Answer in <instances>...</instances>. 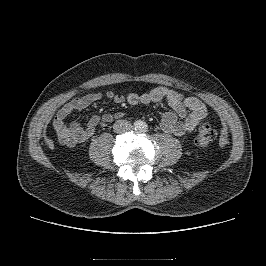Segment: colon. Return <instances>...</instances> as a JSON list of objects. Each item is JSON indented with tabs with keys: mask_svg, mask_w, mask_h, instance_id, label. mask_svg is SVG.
Instances as JSON below:
<instances>
[{
	"mask_svg": "<svg viewBox=\"0 0 266 266\" xmlns=\"http://www.w3.org/2000/svg\"><path fill=\"white\" fill-rule=\"evenodd\" d=\"M216 135V130L211 124L203 123L196 131L194 139L195 145L198 147H206L215 140Z\"/></svg>",
	"mask_w": 266,
	"mask_h": 266,
	"instance_id": "5ec220e1",
	"label": "colon"
}]
</instances>
